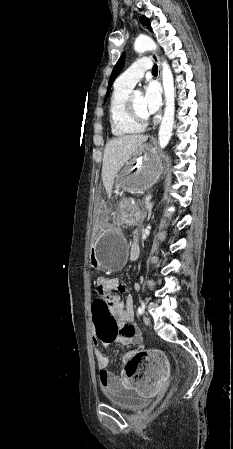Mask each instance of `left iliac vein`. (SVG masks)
Returning <instances> with one entry per match:
<instances>
[{
    "instance_id": "left-iliac-vein-1",
    "label": "left iliac vein",
    "mask_w": 233,
    "mask_h": 449,
    "mask_svg": "<svg viewBox=\"0 0 233 449\" xmlns=\"http://www.w3.org/2000/svg\"><path fill=\"white\" fill-rule=\"evenodd\" d=\"M143 321L145 325L149 326L151 324V320L148 316H143Z\"/></svg>"
}]
</instances>
